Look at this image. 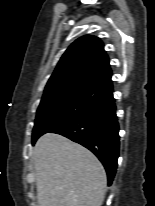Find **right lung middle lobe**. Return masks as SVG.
Instances as JSON below:
<instances>
[{"instance_id":"right-lung-middle-lobe-1","label":"right lung middle lobe","mask_w":155,"mask_h":206,"mask_svg":"<svg viewBox=\"0 0 155 206\" xmlns=\"http://www.w3.org/2000/svg\"><path fill=\"white\" fill-rule=\"evenodd\" d=\"M105 97V93L83 86L45 91L37 110L32 142L96 105Z\"/></svg>"}]
</instances>
